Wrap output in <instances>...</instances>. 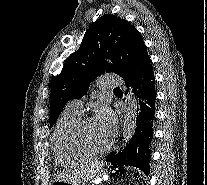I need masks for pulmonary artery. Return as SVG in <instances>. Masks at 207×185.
I'll use <instances>...</instances> for the list:
<instances>
[{
  "mask_svg": "<svg viewBox=\"0 0 207 185\" xmlns=\"http://www.w3.org/2000/svg\"><path fill=\"white\" fill-rule=\"evenodd\" d=\"M97 86H101V91H114V86H124V81L121 77H101V81H97ZM67 111L81 114L83 102L81 100H73L68 103Z\"/></svg>",
  "mask_w": 207,
  "mask_h": 185,
  "instance_id": "1",
  "label": "pulmonary artery"
}]
</instances>
